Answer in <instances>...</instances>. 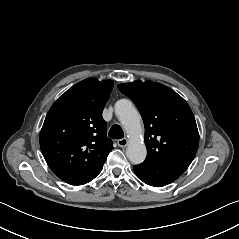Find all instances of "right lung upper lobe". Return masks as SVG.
<instances>
[{"label":"right lung upper lobe","mask_w":239,"mask_h":239,"mask_svg":"<svg viewBox=\"0 0 239 239\" xmlns=\"http://www.w3.org/2000/svg\"><path fill=\"white\" fill-rule=\"evenodd\" d=\"M112 80L85 79L61 95L40 132L42 154L55 174L87 175L100 169L113 150L103 108Z\"/></svg>","instance_id":"1"}]
</instances>
